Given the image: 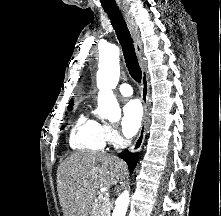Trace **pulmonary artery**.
Masks as SVG:
<instances>
[{"instance_id":"e3ab8cb5","label":"pulmonary artery","mask_w":221,"mask_h":216,"mask_svg":"<svg viewBox=\"0 0 221 216\" xmlns=\"http://www.w3.org/2000/svg\"><path fill=\"white\" fill-rule=\"evenodd\" d=\"M119 91L123 96H131L133 94V89L128 83H122L119 85Z\"/></svg>"}]
</instances>
